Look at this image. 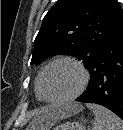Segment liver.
<instances>
[{
  "mask_svg": "<svg viewBox=\"0 0 123 130\" xmlns=\"http://www.w3.org/2000/svg\"><path fill=\"white\" fill-rule=\"evenodd\" d=\"M82 108L79 104H69L64 107L45 106L35 113L29 128L49 130L58 121L80 112Z\"/></svg>",
  "mask_w": 123,
  "mask_h": 130,
  "instance_id": "6515ba94",
  "label": "liver"
}]
</instances>
